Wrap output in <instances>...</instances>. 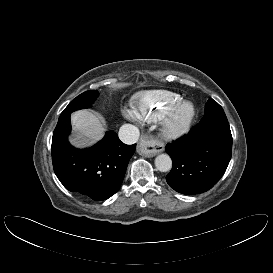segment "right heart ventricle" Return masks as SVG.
Listing matches in <instances>:
<instances>
[{"label":"right heart ventricle","mask_w":273,"mask_h":273,"mask_svg":"<svg viewBox=\"0 0 273 273\" xmlns=\"http://www.w3.org/2000/svg\"><path fill=\"white\" fill-rule=\"evenodd\" d=\"M182 102V96L167 90H152L137 94L134 110L146 122L161 120L172 108Z\"/></svg>","instance_id":"1"}]
</instances>
